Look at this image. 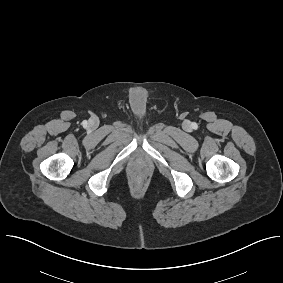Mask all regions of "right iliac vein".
<instances>
[{
	"label": "right iliac vein",
	"mask_w": 283,
	"mask_h": 283,
	"mask_svg": "<svg viewBox=\"0 0 283 283\" xmlns=\"http://www.w3.org/2000/svg\"><path fill=\"white\" fill-rule=\"evenodd\" d=\"M95 123H96L95 120H91V121H90V124H92V125H94Z\"/></svg>",
	"instance_id": "1"
}]
</instances>
